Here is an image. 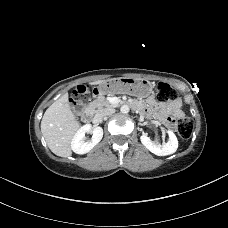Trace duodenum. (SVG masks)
<instances>
[{
  "mask_svg": "<svg viewBox=\"0 0 228 228\" xmlns=\"http://www.w3.org/2000/svg\"><path fill=\"white\" fill-rule=\"evenodd\" d=\"M93 113L91 109H87L82 114V121L88 123L92 120Z\"/></svg>",
  "mask_w": 228,
  "mask_h": 228,
  "instance_id": "410a0bca",
  "label": "duodenum"
}]
</instances>
